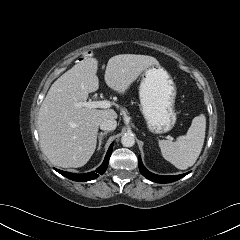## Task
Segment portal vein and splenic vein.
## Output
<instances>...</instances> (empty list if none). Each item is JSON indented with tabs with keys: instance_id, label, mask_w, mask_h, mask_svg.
I'll return each instance as SVG.
<instances>
[{
	"instance_id": "18ae733b",
	"label": "portal vein and splenic vein",
	"mask_w": 240,
	"mask_h": 240,
	"mask_svg": "<svg viewBox=\"0 0 240 240\" xmlns=\"http://www.w3.org/2000/svg\"><path fill=\"white\" fill-rule=\"evenodd\" d=\"M76 107L81 108V107H85V108H103V109H107L110 108L111 106V102L107 101V100H99V101H89V102H78L75 104Z\"/></svg>"
}]
</instances>
